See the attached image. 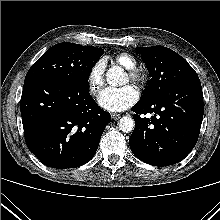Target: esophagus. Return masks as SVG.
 <instances>
[{
	"mask_svg": "<svg viewBox=\"0 0 220 220\" xmlns=\"http://www.w3.org/2000/svg\"><path fill=\"white\" fill-rule=\"evenodd\" d=\"M120 117H121L120 114H117V113H113V114H112V118H113L114 120H118Z\"/></svg>",
	"mask_w": 220,
	"mask_h": 220,
	"instance_id": "34e87169",
	"label": "esophagus"
}]
</instances>
